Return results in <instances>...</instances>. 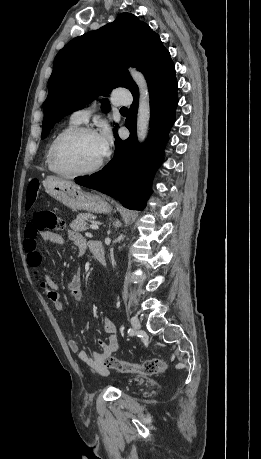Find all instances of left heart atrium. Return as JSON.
<instances>
[{
	"label": "left heart atrium",
	"mask_w": 261,
	"mask_h": 459,
	"mask_svg": "<svg viewBox=\"0 0 261 459\" xmlns=\"http://www.w3.org/2000/svg\"><path fill=\"white\" fill-rule=\"evenodd\" d=\"M98 140L102 147L103 155H106L109 151V147L112 144V133L108 127H104L100 133L97 134Z\"/></svg>",
	"instance_id": "1"
}]
</instances>
